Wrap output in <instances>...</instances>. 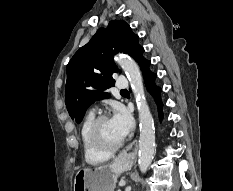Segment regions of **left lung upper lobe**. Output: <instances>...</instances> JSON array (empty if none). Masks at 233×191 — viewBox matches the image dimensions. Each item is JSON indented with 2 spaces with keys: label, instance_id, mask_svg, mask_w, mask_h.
I'll return each mask as SVG.
<instances>
[{
  "label": "left lung upper lobe",
  "instance_id": "5c2ea615",
  "mask_svg": "<svg viewBox=\"0 0 233 191\" xmlns=\"http://www.w3.org/2000/svg\"><path fill=\"white\" fill-rule=\"evenodd\" d=\"M119 52L129 54L138 63L144 59L138 36L125 21L113 20L107 28H100L69 61L65 104L76 122H81L93 102L110 97L105 90L114 85L112 74L118 72V67L113 56Z\"/></svg>",
  "mask_w": 233,
  "mask_h": 191
}]
</instances>
